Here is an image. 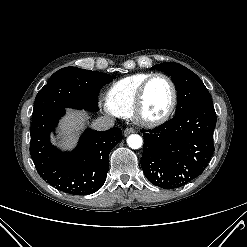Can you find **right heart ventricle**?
<instances>
[{
    "instance_id": "e07e8e85",
    "label": "right heart ventricle",
    "mask_w": 247,
    "mask_h": 247,
    "mask_svg": "<svg viewBox=\"0 0 247 247\" xmlns=\"http://www.w3.org/2000/svg\"><path fill=\"white\" fill-rule=\"evenodd\" d=\"M151 73H135L111 85L106 95L108 107L117 116L128 117L132 114L135 98L142 82Z\"/></svg>"
}]
</instances>
